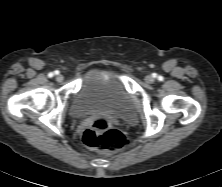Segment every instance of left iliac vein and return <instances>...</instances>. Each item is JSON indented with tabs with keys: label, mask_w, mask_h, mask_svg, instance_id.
I'll return each instance as SVG.
<instances>
[{
	"label": "left iliac vein",
	"mask_w": 222,
	"mask_h": 187,
	"mask_svg": "<svg viewBox=\"0 0 222 187\" xmlns=\"http://www.w3.org/2000/svg\"><path fill=\"white\" fill-rule=\"evenodd\" d=\"M145 81H146L147 83H153V82H154V78H153L151 75H147V76L145 77Z\"/></svg>",
	"instance_id": "1"
}]
</instances>
